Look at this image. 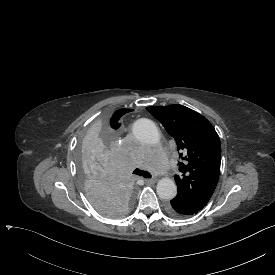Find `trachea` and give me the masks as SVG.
Listing matches in <instances>:
<instances>
[{
	"instance_id": "1",
	"label": "trachea",
	"mask_w": 275,
	"mask_h": 275,
	"mask_svg": "<svg viewBox=\"0 0 275 275\" xmlns=\"http://www.w3.org/2000/svg\"><path fill=\"white\" fill-rule=\"evenodd\" d=\"M133 174L143 176L144 178H152V175L149 172L140 169H135Z\"/></svg>"
}]
</instances>
